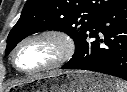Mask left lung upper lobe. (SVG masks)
Masks as SVG:
<instances>
[{
    "mask_svg": "<svg viewBox=\"0 0 127 92\" xmlns=\"http://www.w3.org/2000/svg\"><path fill=\"white\" fill-rule=\"evenodd\" d=\"M121 0H27L7 38L6 55L25 37L45 30L67 33L75 44Z\"/></svg>",
    "mask_w": 127,
    "mask_h": 92,
    "instance_id": "left-lung-upper-lobe-1",
    "label": "left lung upper lobe"
}]
</instances>
